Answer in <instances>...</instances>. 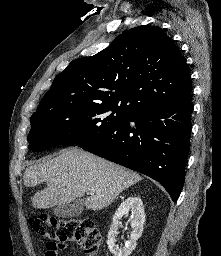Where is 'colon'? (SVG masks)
<instances>
[{
    "label": "colon",
    "instance_id": "5ec220e1",
    "mask_svg": "<svg viewBox=\"0 0 221 256\" xmlns=\"http://www.w3.org/2000/svg\"><path fill=\"white\" fill-rule=\"evenodd\" d=\"M32 230L48 240L47 251L59 255L67 245L76 242L88 255L96 254L102 236L91 219H58L41 214L29 219Z\"/></svg>",
    "mask_w": 221,
    "mask_h": 256
}]
</instances>
